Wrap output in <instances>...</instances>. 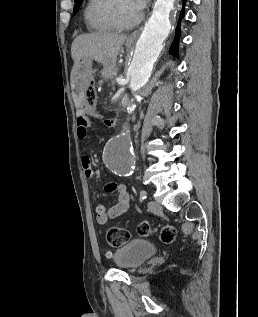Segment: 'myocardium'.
<instances>
[{
    "instance_id": "obj_1",
    "label": "myocardium",
    "mask_w": 258,
    "mask_h": 317,
    "mask_svg": "<svg viewBox=\"0 0 258 317\" xmlns=\"http://www.w3.org/2000/svg\"><path fill=\"white\" fill-rule=\"evenodd\" d=\"M124 3H127L136 9L135 19L129 26L121 25L118 19V11ZM104 16L107 22L117 31L134 28L138 26L142 19V13L133 0H113L107 5Z\"/></svg>"
}]
</instances>
